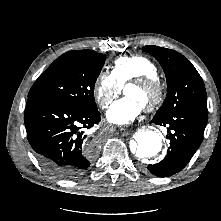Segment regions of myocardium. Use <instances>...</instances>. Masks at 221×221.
<instances>
[{
  "label": "myocardium",
  "mask_w": 221,
  "mask_h": 221,
  "mask_svg": "<svg viewBox=\"0 0 221 221\" xmlns=\"http://www.w3.org/2000/svg\"><path fill=\"white\" fill-rule=\"evenodd\" d=\"M133 85L139 88H144L146 90H149L152 93V98L148 100L144 107L148 111H152L155 108H157L164 99V89L163 85L160 82V80L157 78V76H139L132 80H130L126 85L125 88Z\"/></svg>",
  "instance_id": "myocardium-1"
}]
</instances>
